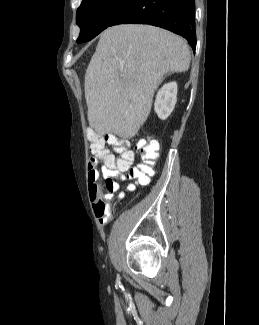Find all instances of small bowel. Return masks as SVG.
I'll return each mask as SVG.
<instances>
[{"instance_id": "c3829d8e", "label": "small bowel", "mask_w": 259, "mask_h": 325, "mask_svg": "<svg viewBox=\"0 0 259 325\" xmlns=\"http://www.w3.org/2000/svg\"><path fill=\"white\" fill-rule=\"evenodd\" d=\"M103 164L98 169V162L96 159L91 158L88 163V187L91 201L93 203V209L96 217L101 223H106L111 217V210L109 205L105 201H111L112 194L102 195L98 186V180L100 173L107 178H113L117 175L119 169L120 158L113 154L107 153L102 157ZM149 183V182H148Z\"/></svg>"}]
</instances>
